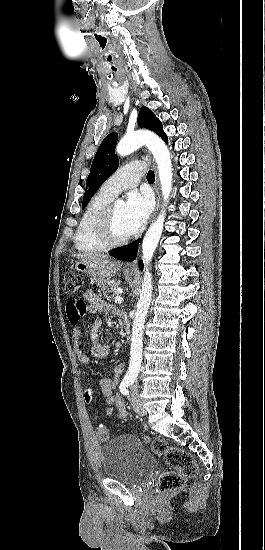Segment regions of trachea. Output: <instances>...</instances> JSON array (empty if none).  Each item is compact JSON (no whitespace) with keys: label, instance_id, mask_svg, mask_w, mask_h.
I'll return each instance as SVG.
<instances>
[{"label":"trachea","instance_id":"trachea-1","mask_svg":"<svg viewBox=\"0 0 265 550\" xmlns=\"http://www.w3.org/2000/svg\"><path fill=\"white\" fill-rule=\"evenodd\" d=\"M147 180H148L149 182H153V181L155 180V174H154L153 171L150 170V171L147 173Z\"/></svg>","mask_w":265,"mask_h":550}]
</instances>
